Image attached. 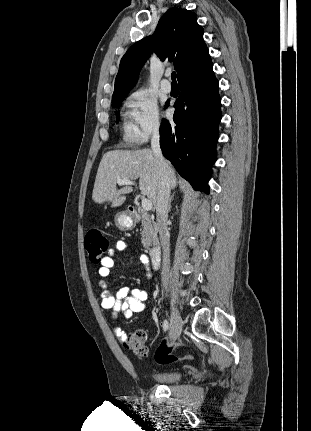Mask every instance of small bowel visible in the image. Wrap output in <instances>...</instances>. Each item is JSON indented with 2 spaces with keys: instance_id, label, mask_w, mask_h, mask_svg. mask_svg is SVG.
I'll return each mask as SVG.
<instances>
[{
  "instance_id": "1",
  "label": "small bowel",
  "mask_w": 311,
  "mask_h": 431,
  "mask_svg": "<svg viewBox=\"0 0 311 431\" xmlns=\"http://www.w3.org/2000/svg\"><path fill=\"white\" fill-rule=\"evenodd\" d=\"M116 249L118 251H131L137 252L134 246L124 242L118 241L116 243ZM140 262L143 264L146 271L152 270L148 258L145 255H140ZM115 265V254L114 251H110L108 256H105L99 268V275L101 277H107L111 269ZM101 288V306L106 310H111L113 315V324L115 327V333L117 337L124 341L127 335L119 327V315L128 319L135 313L143 312L146 308V301L148 299V292L139 288L121 287L117 290L116 294H112L108 284L105 281L100 282Z\"/></svg>"
}]
</instances>
